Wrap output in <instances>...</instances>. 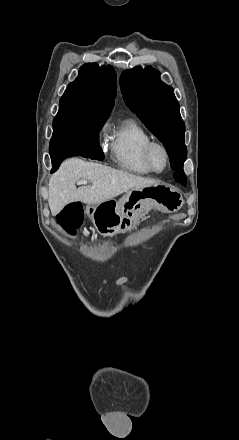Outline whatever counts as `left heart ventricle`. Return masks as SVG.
Returning <instances> with one entry per match:
<instances>
[{
	"mask_svg": "<svg viewBox=\"0 0 239 440\" xmlns=\"http://www.w3.org/2000/svg\"><path fill=\"white\" fill-rule=\"evenodd\" d=\"M154 164L158 170H163L166 166L165 156L162 150L156 149L153 154Z\"/></svg>",
	"mask_w": 239,
	"mask_h": 440,
	"instance_id": "1",
	"label": "left heart ventricle"
}]
</instances>
